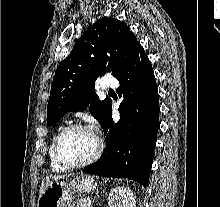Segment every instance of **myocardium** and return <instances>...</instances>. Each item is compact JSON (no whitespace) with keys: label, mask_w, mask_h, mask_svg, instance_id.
<instances>
[{"label":"myocardium","mask_w":220,"mask_h":207,"mask_svg":"<svg viewBox=\"0 0 220 207\" xmlns=\"http://www.w3.org/2000/svg\"><path fill=\"white\" fill-rule=\"evenodd\" d=\"M72 130H85L90 132L95 140H96V149L94 151V153L86 160L81 161V162H77V163H67L65 162L60 154H59V142L61 140V138L69 131ZM104 149V144L103 141L101 140V138L87 125L82 124V123H72L69 124L67 126H65L64 128H62L59 133L56 135L53 144H52V151H53V156L55 161L64 169H75V168H80V167H84L87 166L93 162H95L100 155L102 154Z\"/></svg>","instance_id":"obj_1"}]
</instances>
